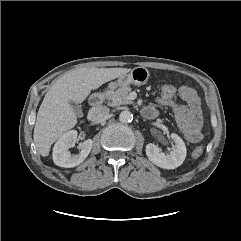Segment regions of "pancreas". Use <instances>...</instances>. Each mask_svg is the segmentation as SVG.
Returning a JSON list of instances; mask_svg holds the SVG:
<instances>
[{"label": "pancreas", "mask_w": 241, "mask_h": 241, "mask_svg": "<svg viewBox=\"0 0 241 241\" xmlns=\"http://www.w3.org/2000/svg\"><path fill=\"white\" fill-rule=\"evenodd\" d=\"M131 88L129 86L120 87L115 91H108L106 99L108 100V105L118 106L121 104H133V101L129 98V92Z\"/></svg>", "instance_id": "cf45deb5"}]
</instances>
